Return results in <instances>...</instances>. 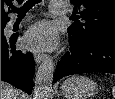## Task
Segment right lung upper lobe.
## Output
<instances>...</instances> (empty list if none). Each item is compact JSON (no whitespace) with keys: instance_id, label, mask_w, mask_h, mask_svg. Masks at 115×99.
Segmentation results:
<instances>
[{"instance_id":"right-lung-upper-lobe-1","label":"right lung upper lobe","mask_w":115,"mask_h":99,"mask_svg":"<svg viewBox=\"0 0 115 99\" xmlns=\"http://www.w3.org/2000/svg\"><path fill=\"white\" fill-rule=\"evenodd\" d=\"M11 0H1V23H7L10 18L7 17V13L10 12V8H12Z\"/></svg>"}]
</instances>
